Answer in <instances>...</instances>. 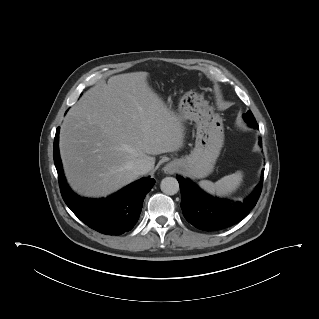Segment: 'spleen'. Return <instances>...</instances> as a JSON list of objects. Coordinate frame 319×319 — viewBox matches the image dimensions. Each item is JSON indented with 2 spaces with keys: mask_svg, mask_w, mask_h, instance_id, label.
Returning <instances> with one entry per match:
<instances>
[{
  "mask_svg": "<svg viewBox=\"0 0 319 319\" xmlns=\"http://www.w3.org/2000/svg\"><path fill=\"white\" fill-rule=\"evenodd\" d=\"M243 180V174L241 171H237L231 175L224 176L215 183L209 180H202L199 182V186L209 194L217 196H226L229 193L236 190Z\"/></svg>",
  "mask_w": 319,
  "mask_h": 319,
  "instance_id": "1",
  "label": "spleen"
}]
</instances>
